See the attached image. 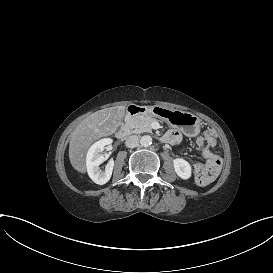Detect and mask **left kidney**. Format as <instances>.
I'll return each instance as SVG.
<instances>
[{"instance_id": "1", "label": "left kidney", "mask_w": 273, "mask_h": 273, "mask_svg": "<svg viewBox=\"0 0 273 273\" xmlns=\"http://www.w3.org/2000/svg\"><path fill=\"white\" fill-rule=\"evenodd\" d=\"M176 174L182 179H188L191 176L190 164L181 158H177L173 161Z\"/></svg>"}]
</instances>
